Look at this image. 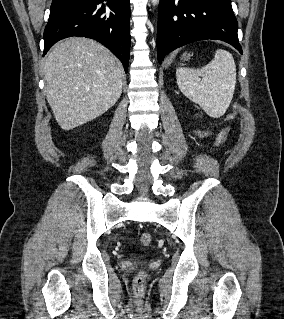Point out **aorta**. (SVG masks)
Here are the masks:
<instances>
[{
	"label": "aorta",
	"instance_id": "762f6f07",
	"mask_svg": "<svg viewBox=\"0 0 284 319\" xmlns=\"http://www.w3.org/2000/svg\"><path fill=\"white\" fill-rule=\"evenodd\" d=\"M159 1H160V0H152V5H153V6L158 5V4H159Z\"/></svg>",
	"mask_w": 284,
	"mask_h": 319
}]
</instances>
